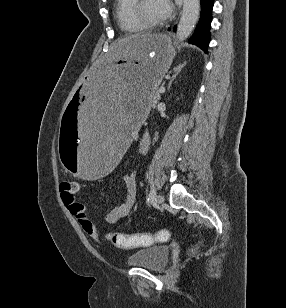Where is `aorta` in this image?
Listing matches in <instances>:
<instances>
[{"label": "aorta", "mask_w": 286, "mask_h": 308, "mask_svg": "<svg viewBox=\"0 0 286 308\" xmlns=\"http://www.w3.org/2000/svg\"><path fill=\"white\" fill-rule=\"evenodd\" d=\"M200 14V0H183V10L176 30L179 41L187 39L192 33Z\"/></svg>", "instance_id": "762f6f07"}]
</instances>
